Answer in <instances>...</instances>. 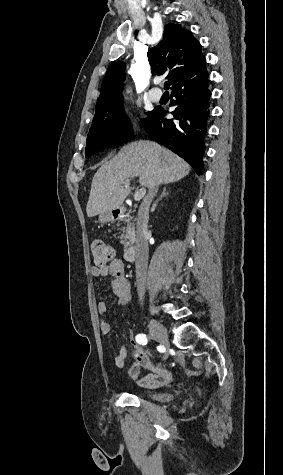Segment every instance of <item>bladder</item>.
<instances>
[{"mask_svg":"<svg viewBox=\"0 0 283 475\" xmlns=\"http://www.w3.org/2000/svg\"><path fill=\"white\" fill-rule=\"evenodd\" d=\"M174 395H175V394L172 393V392H167V393L164 394V396H165L166 398H174ZM139 396H140V397H145L146 400H157V398L154 397L153 395H145V394H143V393H140Z\"/></svg>","mask_w":283,"mask_h":475,"instance_id":"31cf9c89","label":"bladder"}]
</instances>
